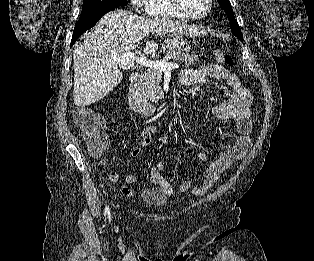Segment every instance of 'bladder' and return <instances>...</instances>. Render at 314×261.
I'll return each mask as SVG.
<instances>
[{
  "label": "bladder",
  "mask_w": 314,
  "mask_h": 261,
  "mask_svg": "<svg viewBox=\"0 0 314 261\" xmlns=\"http://www.w3.org/2000/svg\"><path fill=\"white\" fill-rule=\"evenodd\" d=\"M142 201L153 207H162L167 203V197L155 188H148L140 194Z\"/></svg>",
  "instance_id": "bladder-1"
}]
</instances>
